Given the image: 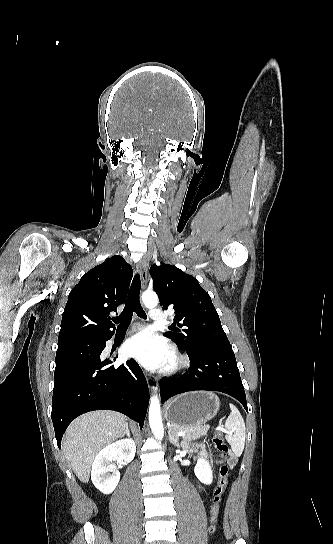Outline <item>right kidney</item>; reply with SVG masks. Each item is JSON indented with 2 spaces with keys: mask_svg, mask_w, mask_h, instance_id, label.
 <instances>
[{
  "mask_svg": "<svg viewBox=\"0 0 333 544\" xmlns=\"http://www.w3.org/2000/svg\"><path fill=\"white\" fill-rule=\"evenodd\" d=\"M136 446L132 439H122L104 447L95 457L91 480L94 486L104 494L114 491L120 480L118 468L133 460ZM116 461L117 465L110 462Z\"/></svg>",
  "mask_w": 333,
  "mask_h": 544,
  "instance_id": "right-kidney-1",
  "label": "right kidney"
}]
</instances>
